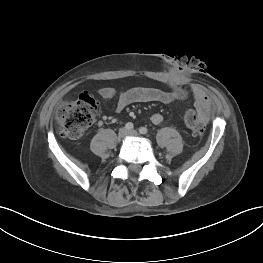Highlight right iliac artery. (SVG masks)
Here are the masks:
<instances>
[{
	"label": "right iliac artery",
	"instance_id": "1",
	"mask_svg": "<svg viewBox=\"0 0 263 263\" xmlns=\"http://www.w3.org/2000/svg\"><path fill=\"white\" fill-rule=\"evenodd\" d=\"M125 128H126L127 130H132V129L134 128V125H133V123L128 122V123L125 125Z\"/></svg>",
	"mask_w": 263,
	"mask_h": 263
}]
</instances>
